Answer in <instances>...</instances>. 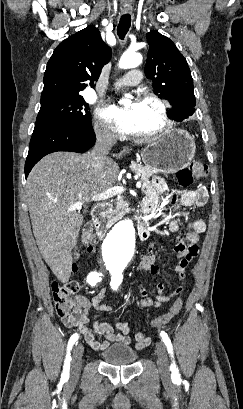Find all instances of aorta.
<instances>
[{
  "instance_id": "obj_1",
  "label": "aorta",
  "mask_w": 243,
  "mask_h": 409,
  "mask_svg": "<svg viewBox=\"0 0 243 409\" xmlns=\"http://www.w3.org/2000/svg\"><path fill=\"white\" fill-rule=\"evenodd\" d=\"M142 62V56L134 51H126L119 60L121 69L137 67ZM135 243V227L130 219L116 224L107 234L103 242L104 254L109 259L128 258L131 256Z\"/></svg>"
}]
</instances>
